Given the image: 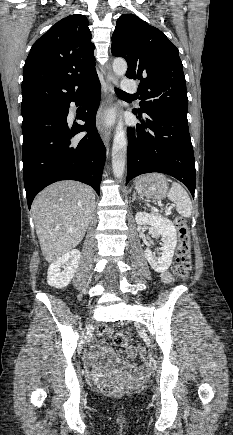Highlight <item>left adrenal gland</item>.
Returning a JSON list of instances; mask_svg holds the SVG:
<instances>
[{
    "instance_id": "left-adrenal-gland-1",
    "label": "left adrenal gland",
    "mask_w": 233,
    "mask_h": 435,
    "mask_svg": "<svg viewBox=\"0 0 233 435\" xmlns=\"http://www.w3.org/2000/svg\"><path fill=\"white\" fill-rule=\"evenodd\" d=\"M136 198H137V196H136V193L135 192H133V198H132V201H135L136 200ZM140 200V199H139Z\"/></svg>"
}]
</instances>
